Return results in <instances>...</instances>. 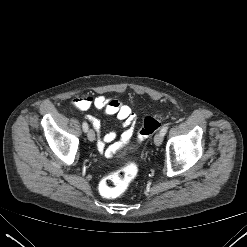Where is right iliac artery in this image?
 I'll return each instance as SVG.
<instances>
[{"label": "right iliac artery", "instance_id": "obj_1", "mask_svg": "<svg viewBox=\"0 0 247 247\" xmlns=\"http://www.w3.org/2000/svg\"><path fill=\"white\" fill-rule=\"evenodd\" d=\"M82 128H83L84 132H87V130H88V124L86 122H83Z\"/></svg>", "mask_w": 247, "mask_h": 247}]
</instances>
